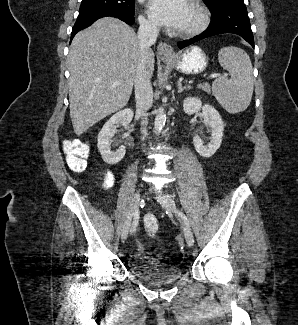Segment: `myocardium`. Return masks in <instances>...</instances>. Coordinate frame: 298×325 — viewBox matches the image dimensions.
<instances>
[{"label": "myocardium", "mask_w": 298, "mask_h": 325, "mask_svg": "<svg viewBox=\"0 0 298 325\" xmlns=\"http://www.w3.org/2000/svg\"><path fill=\"white\" fill-rule=\"evenodd\" d=\"M196 15V22L193 27L181 32L173 31V35L177 37H190L201 33L207 26V16L202 7L195 0H187ZM151 70L149 69L148 72Z\"/></svg>", "instance_id": "myocardium-1"}]
</instances>
